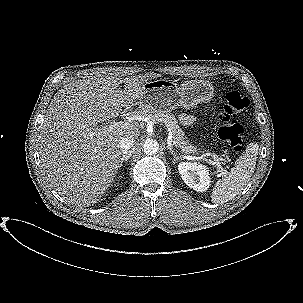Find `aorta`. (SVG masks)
Wrapping results in <instances>:
<instances>
[{
    "mask_svg": "<svg viewBox=\"0 0 303 303\" xmlns=\"http://www.w3.org/2000/svg\"><path fill=\"white\" fill-rule=\"evenodd\" d=\"M142 150L146 155H154L159 150V144L154 139H147L143 144Z\"/></svg>",
    "mask_w": 303,
    "mask_h": 303,
    "instance_id": "762f6f07",
    "label": "aorta"
}]
</instances>
